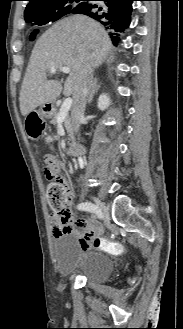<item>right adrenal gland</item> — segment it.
Instances as JSON below:
<instances>
[{
    "label": "right adrenal gland",
    "instance_id": "right-adrenal-gland-1",
    "mask_svg": "<svg viewBox=\"0 0 183 329\" xmlns=\"http://www.w3.org/2000/svg\"><path fill=\"white\" fill-rule=\"evenodd\" d=\"M100 88V84L98 83V78H95L93 80V87L89 93L88 99H87V103L90 104L93 100V96L94 94L99 90Z\"/></svg>",
    "mask_w": 183,
    "mask_h": 329
}]
</instances>
